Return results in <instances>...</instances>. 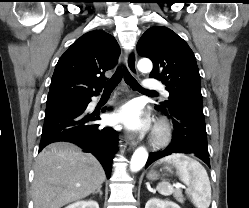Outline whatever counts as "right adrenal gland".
I'll return each mask as SVG.
<instances>
[{"label": "right adrenal gland", "instance_id": "2a0ac1e0", "mask_svg": "<svg viewBox=\"0 0 249 208\" xmlns=\"http://www.w3.org/2000/svg\"><path fill=\"white\" fill-rule=\"evenodd\" d=\"M100 195V197L102 196V191H101V187H99L95 192H93L92 194L95 195V194H98Z\"/></svg>", "mask_w": 249, "mask_h": 208}]
</instances>
